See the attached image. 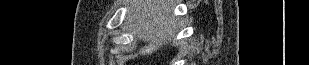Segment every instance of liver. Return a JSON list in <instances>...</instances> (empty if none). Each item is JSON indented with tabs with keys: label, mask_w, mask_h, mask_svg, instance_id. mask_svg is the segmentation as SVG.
I'll return each instance as SVG.
<instances>
[{
	"label": "liver",
	"mask_w": 309,
	"mask_h": 65,
	"mask_svg": "<svg viewBox=\"0 0 309 65\" xmlns=\"http://www.w3.org/2000/svg\"><path fill=\"white\" fill-rule=\"evenodd\" d=\"M127 16L129 29L146 42H166L176 31L172 0H135Z\"/></svg>",
	"instance_id": "obj_1"
}]
</instances>
